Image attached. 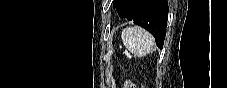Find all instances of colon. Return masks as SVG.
<instances>
[{"label": "colon", "instance_id": "colon-1", "mask_svg": "<svg viewBox=\"0 0 227 88\" xmlns=\"http://www.w3.org/2000/svg\"><path fill=\"white\" fill-rule=\"evenodd\" d=\"M128 88H135L132 84L128 83L127 86Z\"/></svg>", "mask_w": 227, "mask_h": 88}]
</instances>
